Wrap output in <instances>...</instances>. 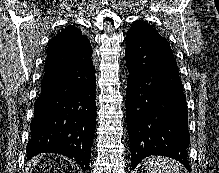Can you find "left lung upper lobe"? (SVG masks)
Masks as SVG:
<instances>
[{"instance_id":"5c2ea615","label":"left lung upper lobe","mask_w":219,"mask_h":173,"mask_svg":"<svg viewBox=\"0 0 219 173\" xmlns=\"http://www.w3.org/2000/svg\"><path fill=\"white\" fill-rule=\"evenodd\" d=\"M127 36L129 37L155 36V37L163 38L151 25L140 20L135 21L131 25V28Z\"/></svg>"}]
</instances>
